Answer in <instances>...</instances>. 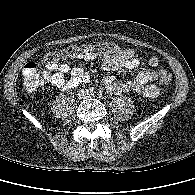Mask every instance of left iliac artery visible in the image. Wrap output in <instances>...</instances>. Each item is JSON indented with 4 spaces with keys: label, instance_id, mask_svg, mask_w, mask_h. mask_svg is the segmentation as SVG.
<instances>
[{
    "label": "left iliac artery",
    "instance_id": "1",
    "mask_svg": "<svg viewBox=\"0 0 195 195\" xmlns=\"http://www.w3.org/2000/svg\"><path fill=\"white\" fill-rule=\"evenodd\" d=\"M98 95L101 97L103 95L102 91H99Z\"/></svg>",
    "mask_w": 195,
    "mask_h": 195
}]
</instances>
